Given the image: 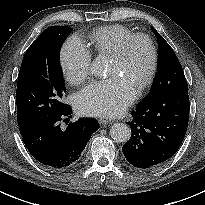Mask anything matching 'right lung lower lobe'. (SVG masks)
Masks as SVG:
<instances>
[{
  "mask_svg": "<svg viewBox=\"0 0 205 205\" xmlns=\"http://www.w3.org/2000/svg\"><path fill=\"white\" fill-rule=\"evenodd\" d=\"M70 114L67 105L63 111L46 116L21 133L31 155L48 168L64 169L74 165L99 128L94 119L81 118L63 130L60 121Z\"/></svg>",
  "mask_w": 205,
  "mask_h": 205,
  "instance_id": "1",
  "label": "right lung lower lobe"
}]
</instances>
